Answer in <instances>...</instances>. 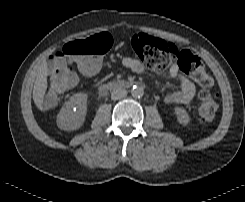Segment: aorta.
<instances>
[{
  "mask_svg": "<svg viewBox=\"0 0 245 202\" xmlns=\"http://www.w3.org/2000/svg\"><path fill=\"white\" fill-rule=\"evenodd\" d=\"M144 94V89L143 87L141 86H134L132 89H131V95L134 97V98H140L142 97Z\"/></svg>",
  "mask_w": 245,
  "mask_h": 202,
  "instance_id": "obj_1",
  "label": "aorta"
}]
</instances>
